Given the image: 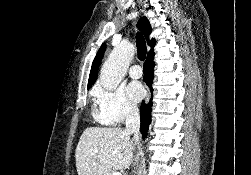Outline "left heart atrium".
Returning <instances> with one entry per match:
<instances>
[{
	"label": "left heart atrium",
	"mask_w": 251,
	"mask_h": 175,
	"mask_svg": "<svg viewBox=\"0 0 251 175\" xmlns=\"http://www.w3.org/2000/svg\"><path fill=\"white\" fill-rule=\"evenodd\" d=\"M127 94L132 101H138L144 96L145 89L140 82L131 81L127 86Z\"/></svg>",
	"instance_id": "obj_1"
}]
</instances>
